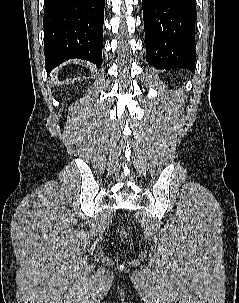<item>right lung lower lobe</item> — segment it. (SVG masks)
Segmentation results:
<instances>
[{"mask_svg": "<svg viewBox=\"0 0 239 303\" xmlns=\"http://www.w3.org/2000/svg\"><path fill=\"white\" fill-rule=\"evenodd\" d=\"M45 68L72 58L102 64L105 0H44Z\"/></svg>", "mask_w": 239, "mask_h": 303, "instance_id": "1", "label": "right lung lower lobe"}]
</instances>
